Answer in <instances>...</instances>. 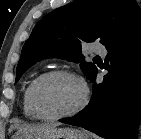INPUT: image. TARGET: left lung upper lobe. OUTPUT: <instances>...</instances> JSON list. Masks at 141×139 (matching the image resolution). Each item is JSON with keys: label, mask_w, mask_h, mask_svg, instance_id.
I'll list each match as a JSON object with an SVG mask.
<instances>
[{"label": "left lung upper lobe", "mask_w": 141, "mask_h": 139, "mask_svg": "<svg viewBox=\"0 0 141 139\" xmlns=\"http://www.w3.org/2000/svg\"><path fill=\"white\" fill-rule=\"evenodd\" d=\"M140 21L141 10L135 0H75L59 7L34 27L22 48L15 82L33 64L52 57L81 63L91 77L97 68L84 62L81 44L100 40L105 46Z\"/></svg>", "instance_id": "5c2ea615"}]
</instances>
